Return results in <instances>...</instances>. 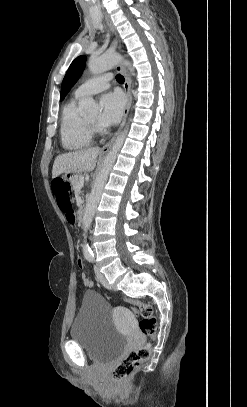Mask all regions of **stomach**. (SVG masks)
I'll return each mask as SVG.
<instances>
[{
    "label": "stomach",
    "mask_w": 247,
    "mask_h": 407,
    "mask_svg": "<svg viewBox=\"0 0 247 407\" xmlns=\"http://www.w3.org/2000/svg\"><path fill=\"white\" fill-rule=\"evenodd\" d=\"M63 176L68 181H71L73 178H75L76 171H75V169H64Z\"/></svg>",
    "instance_id": "1"
}]
</instances>
